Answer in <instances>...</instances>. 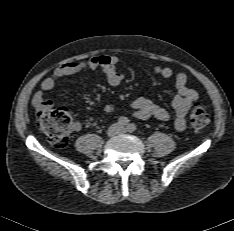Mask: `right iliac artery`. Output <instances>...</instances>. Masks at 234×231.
I'll return each mask as SVG.
<instances>
[{"instance_id":"obj_1","label":"right iliac artery","mask_w":234,"mask_h":231,"mask_svg":"<svg viewBox=\"0 0 234 231\" xmlns=\"http://www.w3.org/2000/svg\"><path fill=\"white\" fill-rule=\"evenodd\" d=\"M118 123L120 124V125H127L128 123H129V120H128V118L127 117H120L119 119H118Z\"/></svg>"}]
</instances>
